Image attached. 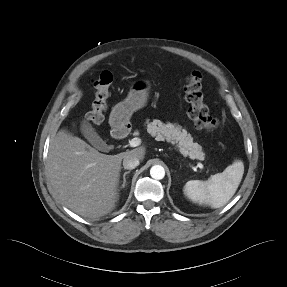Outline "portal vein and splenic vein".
<instances>
[{"label": "portal vein and splenic vein", "mask_w": 287, "mask_h": 287, "mask_svg": "<svg viewBox=\"0 0 287 287\" xmlns=\"http://www.w3.org/2000/svg\"><path fill=\"white\" fill-rule=\"evenodd\" d=\"M140 144H141V139L138 138V137H135V138H133V139H131V140L129 141L130 147H137V146H139ZM197 167H198L199 169H203V168H204L203 164L200 163V162L197 163Z\"/></svg>", "instance_id": "portal-vein-and-splenic-vein-1"}]
</instances>
